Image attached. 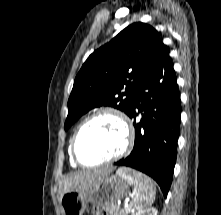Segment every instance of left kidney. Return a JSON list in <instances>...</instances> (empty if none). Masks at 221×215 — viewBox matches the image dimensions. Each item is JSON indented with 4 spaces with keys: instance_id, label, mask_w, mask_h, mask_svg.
<instances>
[{
    "instance_id": "left-kidney-1",
    "label": "left kidney",
    "mask_w": 221,
    "mask_h": 215,
    "mask_svg": "<svg viewBox=\"0 0 221 215\" xmlns=\"http://www.w3.org/2000/svg\"><path fill=\"white\" fill-rule=\"evenodd\" d=\"M158 211L156 208H146L138 211L135 215H157Z\"/></svg>"
}]
</instances>
